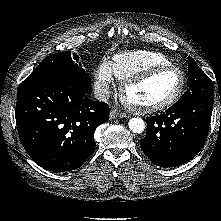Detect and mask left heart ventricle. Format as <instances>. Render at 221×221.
Here are the masks:
<instances>
[{
  "label": "left heart ventricle",
  "instance_id": "obj_1",
  "mask_svg": "<svg viewBox=\"0 0 221 221\" xmlns=\"http://www.w3.org/2000/svg\"><path fill=\"white\" fill-rule=\"evenodd\" d=\"M181 76L177 71H164L130 87L127 99L137 105H152L171 97L178 89Z\"/></svg>",
  "mask_w": 221,
  "mask_h": 221
}]
</instances>
